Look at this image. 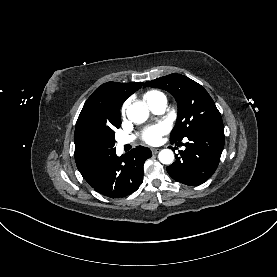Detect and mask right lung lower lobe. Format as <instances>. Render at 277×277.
Wrapping results in <instances>:
<instances>
[{"instance_id": "98d812e1", "label": "right lung lower lobe", "mask_w": 277, "mask_h": 277, "mask_svg": "<svg viewBox=\"0 0 277 277\" xmlns=\"http://www.w3.org/2000/svg\"><path fill=\"white\" fill-rule=\"evenodd\" d=\"M152 156L149 148L138 146L128 156L116 155L115 149L104 153L79 169L95 191L110 198H120L135 192L143 181L144 162Z\"/></svg>"}]
</instances>
